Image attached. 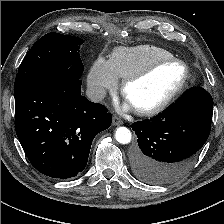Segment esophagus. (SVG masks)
<instances>
[{"label": "esophagus", "mask_w": 224, "mask_h": 224, "mask_svg": "<svg viewBox=\"0 0 224 224\" xmlns=\"http://www.w3.org/2000/svg\"><path fill=\"white\" fill-rule=\"evenodd\" d=\"M112 124L114 126H120V125L123 124V121L120 118L114 116L113 119H112Z\"/></svg>", "instance_id": "1"}]
</instances>
